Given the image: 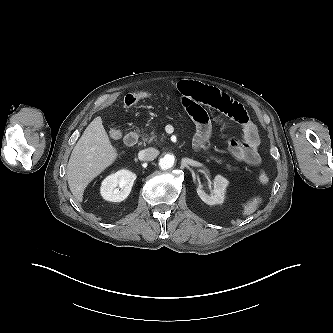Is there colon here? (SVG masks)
<instances>
[{"instance_id":"5ec220e1","label":"colon","mask_w":333,"mask_h":333,"mask_svg":"<svg viewBox=\"0 0 333 333\" xmlns=\"http://www.w3.org/2000/svg\"><path fill=\"white\" fill-rule=\"evenodd\" d=\"M150 95H151V93L148 91L127 94L124 98V106H125V108H132L140 100L148 98ZM109 135L113 139H119L122 137V131L118 127L112 126L109 129ZM258 179H259V182L262 184H267L269 182V177L264 172H261L259 174Z\"/></svg>"}]
</instances>
